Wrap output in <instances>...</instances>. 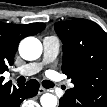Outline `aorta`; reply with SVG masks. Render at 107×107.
Returning a JSON list of instances; mask_svg holds the SVG:
<instances>
[{"label":"aorta","instance_id":"1","mask_svg":"<svg viewBox=\"0 0 107 107\" xmlns=\"http://www.w3.org/2000/svg\"><path fill=\"white\" fill-rule=\"evenodd\" d=\"M19 53L25 60H36L42 54V44L35 37H27L21 41L19 45ZM40 103L43 107H56L58 100L55 95L45 93L41 96Z\"/></svg>","mask_w":107,"mask_h":107}]
</instances>
